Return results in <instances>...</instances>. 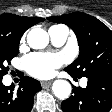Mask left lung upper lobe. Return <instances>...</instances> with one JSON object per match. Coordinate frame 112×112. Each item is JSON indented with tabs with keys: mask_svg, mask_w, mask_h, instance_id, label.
<instances>
[{
	"mask_svg": "<svg viewBox=\"0 0 112 112\" xmlns=\"http://www.w3.org/2000/svg\"><path fill=\"white\" fill-rule=\"evenodd\" d=\"M55 23L68 25L76 34L80 54L65 70L77 78L112 74V31L95 17L74 12L48 17Z\"/></svg>",
	"mask_w": 112,
	"mask_h": 112,
	"instance_id": "obj_1",
	"label": "left lung upper lobe"
}]
</instances>
